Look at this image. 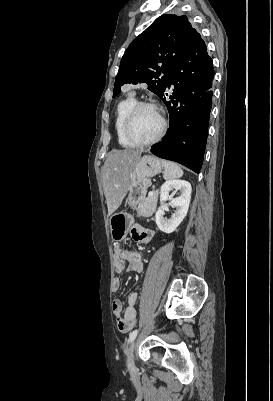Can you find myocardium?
<instances>
[{"label":"myocardium","mask_w":273,"mask_h":401,"mask_svg":"<svg viewBox=\"0 0 273 401\" xmlns=\"http://www.w3.org/2000/svg\"><path fill=\"white\" fill-rule=\"evenodd\" d=\"M142 108H149V109L157 111L159 113V115L161 117V121H162V126H161L159 133L155 137L148 139V140H139V139L135 138L131 134V131H130V127H131V124L133 122L135 115ZM167 129H168L167 120L164 117V115L162 114L161 109L157 105L150 103V102H138L133 106V108L128 113V115L123 123V126H122V133H123L124 138L128 142L134 144L135 146L142 147V146H149V145L155 144L158 141H160L166 134Z\"/></svg>","instance_id":"myocardium-1"}]
</instances>
